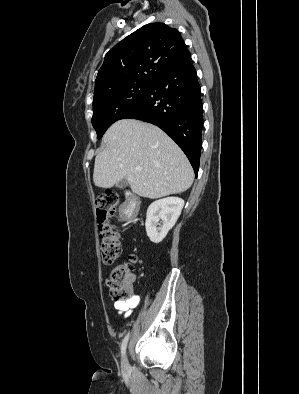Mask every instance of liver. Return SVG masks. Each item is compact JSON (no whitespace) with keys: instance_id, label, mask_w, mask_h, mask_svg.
Masks as SVG:
<instances>
[{"instance_id":"obj_1","label":"liver","mask_w":299,"mask_h":394,"mask_svg":"<svg viewBox=\"0 0 299 394\" xmlns=\"http://www.w3.org/2000/svg\"><path fill=\"white\" fill-rule=\"evenodd\" d=\"M103 142L106 147L94 164L97 187L111 188L126 178L135 194L157 199L186 191L193 183L194 172L186 155L154 125L121 119L107 130Z\"/></svg>"}]
</instances>
